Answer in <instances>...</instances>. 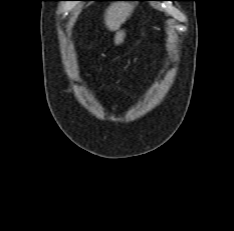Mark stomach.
I'll return each instance as SVG.
<instances>
[{"label": "stomach", "mask_w": 234, "mask_h": 231, "mask_svg": "<svg viewBox=\"0 0 234 231\" xmlns=\"http://www.w3.org/2000/svg\"><path fill=\"white\" fill-rule=\"evenodd\" d=\"M125 36H126V32L124 30L117 31L115 38H114L115 45L122 44L124 42Z\"/></svg>", "instance_id": "stomach-1"}]
</instances>
